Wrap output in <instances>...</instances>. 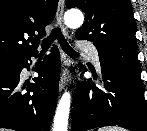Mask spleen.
I'll return each mask as SVG.
<instances>
[{"label": "spleen", "mask_w": 147, "mask_h": 131, "mask_svg": "<svg viewBox=\"0 0 147 131\" xmlns=\"http://www.w3.org/2000/svg\"><path fill=\"white\" fill-rule=\"evenodd\" d=\"M99 131H126V130L116 126H109V127L101 128Z\"/></svg>", "instance_id": "3e777b00"}]
</instances>
